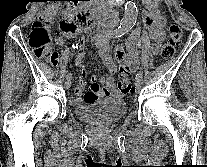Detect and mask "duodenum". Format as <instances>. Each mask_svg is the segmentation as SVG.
Instances as JSON below:
<instances>
[{
  "label": "duodenum",
  "mask_w": 207,
  "mask_h": 167,
  "mask_svg": "<svg viewBox=\"0 0 207 167\" xmlns=\"http://www.w3.org/2000/svg\"><path fill=\"white\" fill-rule=\"evenodd\" d=\"M116 16L112 14H107L103 19V24L106 28H111L115 26ZM84 22L86 26L91 27L101 22L100 13L97 9H89L84 13Z\"/></svg>",
  "instance_id": "duodenum-1"
}]
</instances>
